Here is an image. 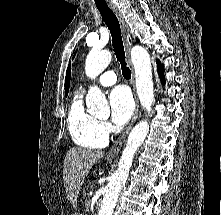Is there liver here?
Returning <instances> with one entry per match:
<instances>
[{
    "label": "liver",
    "instance_id": "1",
    "mask_svg": "<svg viewBox=\"0 0 221 215\" xmlns=\"http://www.w3.org/2000/svg\"><path fill=\"white\" fill-rule=\"evenodd\" d=\"M103 157L104 152L100 150L72 148L67 152L63 165V181L67 198L74 209L89 170Z\"/></svg>",
    "mask_w": 221,
    "mask_h": 215
}]
</instances>
